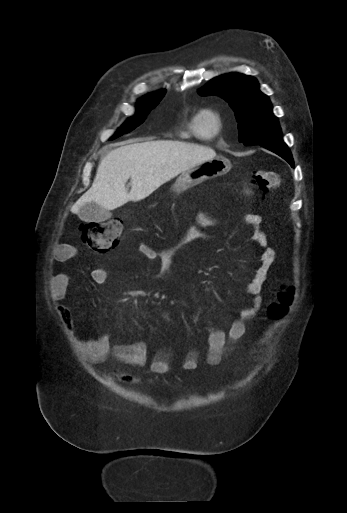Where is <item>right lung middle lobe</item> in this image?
Returning a JSON list of instances; mask_svg holds the SVG:
<instances>
[{
  "mask_svg": "<svg viewBox=\"0 0 347 513\" xmlns=\"http://www.w3.org/2000/svg\"><path fill=\"white\" fill-rule=\"evenodd\" d=\"M166 91H158L155 93H151L149 95H146L142 99H140L137 103V113L135 116L129 118L125 124L116 132V134L110 139H115L131 130H133L135 127L140 125L142 122H144L146 116L149 114V112L155 108L162 97L164 96Z\"/></svg>",
  "mask_w": 347,
  "mask_h": 513,
  "instance_id": "right-lung-middle-lobe-1",
  "label": "right lung middle lobe"
}]
</instances>
